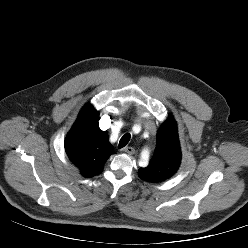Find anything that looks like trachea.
I'll return each instance as SVG.
<instances>
[{
    "label": "trachea",
    "instance_id": "3493384b",
    "mask_svg": "<svg viewBox=\"0 0 248 248\" xmlns=\"http://www.w3.org/2000/svg\"><path fill=\"white\" fill-rule=\"evenodd\" d=\"M130 138L131 135L129 133L124 134L119 141V148L125 147L129 143Z\"/></svg>",
    "mask_w": 248,
    "mask_h": 248
}]
</instances>
